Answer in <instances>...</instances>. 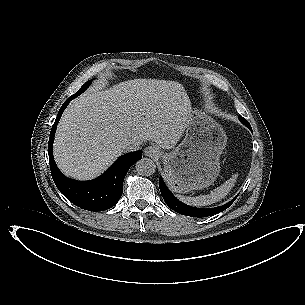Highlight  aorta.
<instances>
[{
    "instance_id": "obj_1",
    "label": "aorta",
    "mask_w": 305,
    "mask_h": 305,
    "mask_svg": "<svg viewBox=\"0 0 305 305\" xmlns=\"http://www.w3.org/2000/svg\"><path fill=\"white\" fill-rule=\"evenodd\" d=\"M135 168L138 174L143 176H151L156 171V164L149 158H141L136 162Z\"/></svg>"
}]
</instances>
